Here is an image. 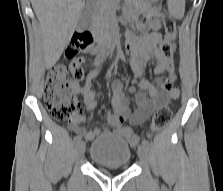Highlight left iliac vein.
<instances>
[{"instance_id":"1","label":"left iliac vein","mask_w":223,"mask_h":191,"mask_svg":"<svg viewBox=\"0 0 223 191\" xmlns=\"http://www.w3.org/2000/svg\"><path fill=\"white\" fill-rule=\"evenodd\" d=\"M138 157L142 162H148V149L144 145L139 146Z\"/></svg>"}]
</instances>
